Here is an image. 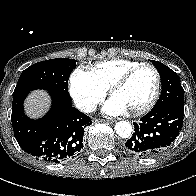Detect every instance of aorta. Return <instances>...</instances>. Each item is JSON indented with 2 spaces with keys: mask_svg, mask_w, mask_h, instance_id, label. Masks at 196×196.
I'll return each instance as SVG.
<instances>
[{
  "mask_svg": "<svg viewBox=\"0 0 196 196\" xmlns=\"http://www.w3.org/2000/svg\"><path fill=\"white\" fill-rule=\"evenodd\" d=\"M115 131L121 138H128L132 132V125L127 121H119L115 124Z\"/></svg>",
  "mask_w": 196,
  "mask_h": 196,
  "instance_id": "obj_1",
  "label": "aorta"
}]
</instances>
